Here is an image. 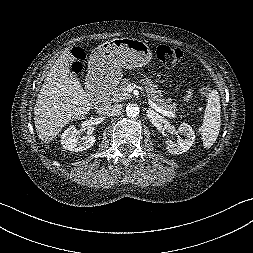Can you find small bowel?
Masks as SVG:
<instances>
[{
	"mask_svg": "<svg viewBox=\"0 0 253 253\" xmlns=\"http://www.w3.org/2000/svg\"><path fill=\"white\" fill-rule=\"evenodd\" d=\"M191 97V91H189L185 97V101H188Z\"/></svg>",
	"mask_w": 253,
	"mask_h": 253,
	"instance_id": "1",
	"label": "small bowel"
}]
</instances>
